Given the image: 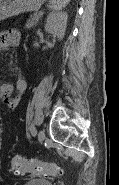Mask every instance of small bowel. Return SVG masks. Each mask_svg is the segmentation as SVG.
<instances>
[{"instance_id":"1","label":"small bowel","mask_w":119,"mask_h":185,"mask_svg":"<svg viewBox=\"0 0 119 185\" xmlns=\"http://www.w3.org/2000/svg\"><path fill=\"white\" fill-rule=\"evenodd\" d=\"M20 40L18 30H5L0 34V47L2 50H8L17 45ZM27 87V81L21 77L17 80L15 88L17 94L13 96V86L7 82H2L0 85V96L9 109H15L20 101V97Z\"/></svg>"}]
</instances>
